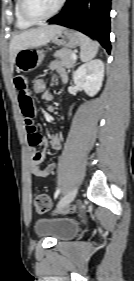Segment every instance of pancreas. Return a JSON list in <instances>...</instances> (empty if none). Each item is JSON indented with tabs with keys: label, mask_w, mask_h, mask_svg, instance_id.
Wrapping results in <instances>:
<instances>
[{
	"label": "pancreas",
	"mask_w": 134,
	"mask_h": 281,
	"mask_svg": "<svg viewBox=\"0 0 134 281\" xmlns=\"http://www.w3.org/2000/svg\"><path fill=\"white\" fill-rule=\"evenodd\" d=\"M73 51L68 48H62L55 52L54 57L60 59V65L66 68H72L75 60L72 59Z\"/></svg>",
	"instance_id": "pancreas-1"
}]
</instances>
